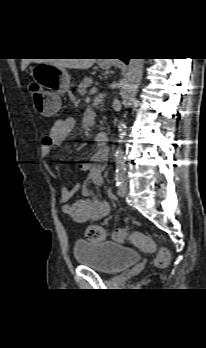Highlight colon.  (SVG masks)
Returning <instances> with one entry per match:
<instances>
[{"mask_svg": "<svg viewBox=\"0 0 206 348\" xmlns=\"http://www.w3.org/2000/svg\"><path fill=\"white\" fill-rule=\"evenodd\" d=\"M35 105L45 113H55L57 103L54 98H47L42 88L36 84L31 83L28 87ZM85 236L89 241L98 242L103 241L107 237V232L104 227L99 225H91L86 229ZM112 238L120 243L130 242L138 247L143 252L153 253L157 252L154 264L157 267H165L170 261V253L167 249L161 248L157 250L155 242L137 231H129L127 229H116L112 233Z\"/></svg>", "mask_w": 206, "mask_h": 348, "instance_id": "5ec220e1", "label": "colon"}]
</instances>
